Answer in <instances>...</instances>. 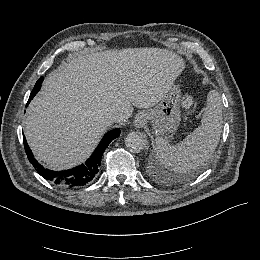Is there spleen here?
I'll use <instances>...</instances> for the list:
<instances>
[{
	"mask_svg": "<svg viewBox=\"0 0 260 260\" xmlns=\"http://www.w3.org/2000/svg\"><path fill=\"white\" fill-rule=\"evenodd\" d=\"M222 103L216 90L207 95V107L201 125L187 135L183 141L171 146L164 138L155 139L156 158L166 168L176 173L197 169L212 156L218 146L222 131Z\"/></svg>",
	"mask_w": 260,
	"mask_h": 260,
	"instance_id": "obj_1",
	"label": "spleen"
}]
</instances>
